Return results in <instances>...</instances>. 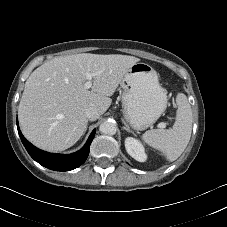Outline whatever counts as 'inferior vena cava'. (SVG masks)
Returning a JSON list of instances; mask_svg holds the SVG:
<instances>
[{"instance_id":"inferior-vena-cava-1","label":"inferior vena cava","mask_w":227,"mask_h":227,"mask_svg":"<svg viewBox=\"0 0 227 227\" xmlns=\"http://www.w3.org/2000/svg\"><path fill=\"white\" fill-rule=\"evenodd\" d=\"M85 116L87 119L91 120V121H95L100 117V113L96 108H88L85 111Z\"/></svg>"}]
</instances>
